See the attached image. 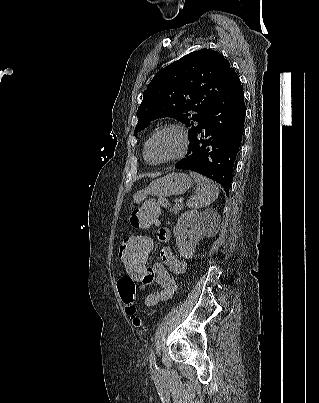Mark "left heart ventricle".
<instances>
[{
	"label": "left heart ventricle",
	"instance_id": "obj_1",
	"mask_svg": "<svg viewBox=\"0 0 319 403\" xmlns=\"http://www.w3.org/2000/svg\"><path fill=\"white\" fill-rule=\"evenodd\" d=\"M179 147V139L174 132L167 131L159 134L150 144L148 159L160 161L174 154Z\"/></svg>",
	"mask_w": 319,
	"mask_h": 403
}]
</instances>
